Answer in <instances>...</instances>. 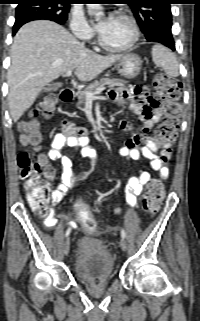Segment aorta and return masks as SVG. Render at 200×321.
<instances>
[{"label":"aorta","mask_w":200,"mask_h":321,"mask_svg":"<svg viewBox=\"0 0 200 321\" xmlns=\"http://www.w3.org/2000/svg\"><path fill=\"white\" fill-rule=\"evenodd\" d=\"M88 9L95 11L97 17H99L103 14V12H102L103 8L100 6V4H88Z\"/></svg>","instance_id":"obj_1"}]
</instances>
